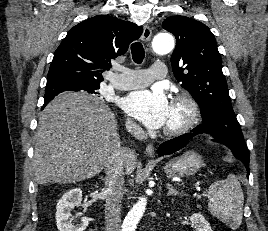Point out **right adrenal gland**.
I'll return each mask as SVG.
<instances>
[{
  "instance_id": "1",
  "label": "right adrenal gland",
  "mask_w": 268,
  "mask_h": 231,
  "mask_svg": "<svg viewBox=\"0 0 268 231\" xmlns=\"http://www.w3.org/2000/svg\"><path fill=\"white\" fill-rule=\"evenodd\" d=\"M100 179H101V180H104V178H103V177H100Z\"/></svg>"
}]
</instances>
